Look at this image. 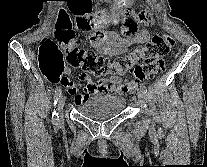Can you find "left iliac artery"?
<instances>
[{"label":"left iliac artery","instance_id":"obj_1","mask_svg":"<svg viewBox=\"0 0 207 167\" xmlns=\"http://www.w3.org/2000/svg\"><path fill=\"white\" fill-rule=\"evenodd\" d=\"M140 89H141V91H142L143 93H146V92H147V88H146V86H145L144 84H141V85H140Z\"/></svg>","mask_w":207,"mask_h":167}]
</instances>
